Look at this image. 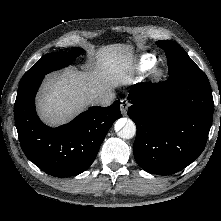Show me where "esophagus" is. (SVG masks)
<instances>
[{
    "label": "esophagus",
    "instance_id": "1",
    "mask_svg": "<svg viewBox=\"0 0 221 221\" xmlns=\"http://www.w3.org/2000/svg\"><path fill=\"white\" fill-rule=\"evenodd\" d=\"M120 102H121V104H120L121 113H122V115L125 116L127 114V111H128L129 106H130V103L125 98L121 99Z\"/></svg>",
    "mask_w": 221,
    "mask_h": 221
}]
</instances>
